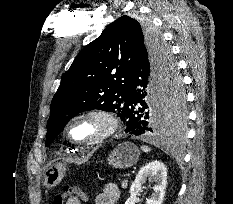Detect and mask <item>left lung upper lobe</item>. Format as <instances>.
I'll return each mask as SVG.
<instances>
[{
  "instance_id": "5c2ea615",
  "label": "left lung upper lobe",
  "mask_w": 233,
  "mask_h": 204,
  "mask_svg": "<svg viewBox=\"0 0 233 204\" xmlns=\"http://www.w3.org/2000/svg\"><path fill=\"white\" fill-rule=\"evenodd\" d=\"M140 49L145 50L147 59L165 85L163 91L166 88L163 129L178 127L185 120L181 79L170 86L176 68L170 48L151 27L124 15L85 46L61 77L51 102L46 146L79 112L100 109L123 118L129 97L130 70Z\"/></svg>"
}]
</instances>
